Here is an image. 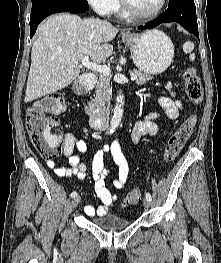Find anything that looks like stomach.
<instances>
[{
  "instance_id": "stomach-1",
  "label": "stomach",
  "mask_w": 221,
  "mask_h": 263,
  "mask_svg": "<svg viewBox=\"0 0 221 263\" xmlns=\"http://www.w3.org/2000/svg\"><path fill=\"white\" fill-rule=\"evenodd\" d=\"M129 47L136 67L147 74H160L171 64L174 45L162 31L154 29L142 34H130L123 38Z\"/></svg>"
}]
</instances>
